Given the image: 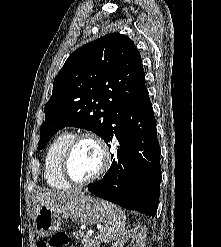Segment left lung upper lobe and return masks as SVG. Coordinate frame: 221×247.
Returning a JSON list of instances; mask_svg holds the SVG:
<instances>
[{"label":"left lung upper lobe","mask_w":221,"mask_h":247,"mask_svg":"<svg viewBox=\"0 0 221 247\" xmlns=\"http://www.w3.org/2000/svg\"><path fill=\"white\" fill-rule=\"evenodd\" d=\"M148 99L133 41L119 33L107 34L74 51L55 77L38 150L65 126L91 130L105 139L121 109Z\"/></svg>","instance_id":"5c2ea615"}]
</instances>
